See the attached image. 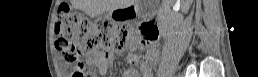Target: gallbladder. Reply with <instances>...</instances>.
Instances as JSON below:
<instances>
[{"label": "gallbladder", "mask_w": 258, "mask_h": 77, "mask_svg": "<svg viewBox=\"0 0 258 77\" xmlns=\"http://www.w3.org/2000/svg\"><path fill=\"white\" fill-rule=\"evenodd\" d=\"M147 2L149 1L144 0L138 5L137 11L139 14L144 15L147 12L151 11V7L148 5Z\"/></svg>", "instance_id": "gallbladder-1"}]
</instances>
